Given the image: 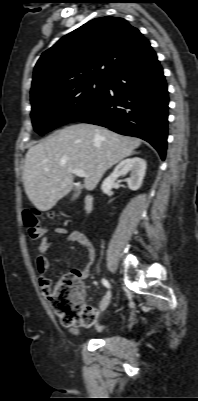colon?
Returning a JSON list of instances; mask_svg holds the SVG:
<instances>
[{"mask_svg": "<svg viewBox=\"0 0 198 401\" xmlns=\"http://www.w3.org/2000/svg\"><path fill=\"white\" fill-rule=\"evenodd\" d=\"M22 217L29 238L40 239L44 230L40 225L39 212L26 210ZM48 217L53 219V215ZM48 294L50 305L64 326L88 327L95 322L96 316L92 308L84 303L83 289L76 271L64 275L60 282L52 290H49Z\"/></svg>", "mask_w": 198, "mask_h": 401, "instance_id": "colon-1", "label": "colon"}]
</instances>
